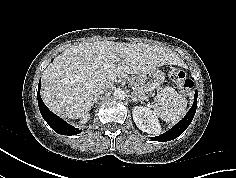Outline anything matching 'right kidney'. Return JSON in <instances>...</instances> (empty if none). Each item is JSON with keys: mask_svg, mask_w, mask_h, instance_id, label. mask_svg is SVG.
Segmentation results:
<instances>
[{"mask_svg": "<svg viewBox=\"0 0 236 178\" xmlns=\"http://www.w3.org/2000/svg\"><path fill=\"white\" fill-rule=\"evenodd\" d=\"M90 119V114H84L83 116H82V119L80 120V122L82 123V124H85V123H87L88 122V120Z\"/></svg>", "mask_w": 236, "mask_h": 178, "instance_id": "ca27d5eb", "label": "right kidney"}]
</instances>
